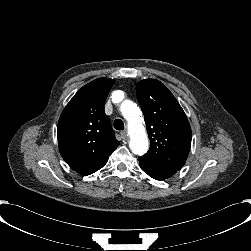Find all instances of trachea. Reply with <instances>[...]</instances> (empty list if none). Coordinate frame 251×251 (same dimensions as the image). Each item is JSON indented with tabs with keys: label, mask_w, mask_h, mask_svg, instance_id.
I'll return each mask as SVG.
<instances>
[{
	"label": "trachea",
	"mask_w": 251,
	"mask_h": 251,
	"mask_svg": "<svg viewBox=\"0 0 251 251\" xmlns=\"http://www.w3.org/2000/svg\"><path fill=\"white\" fill-rule=\"evenodd\" d=\"M113 125L116 130L121 131L124 129V123L121 119H116Z\"/></svg>",
	"instance_id": "3493384b"
}]
</instances>
